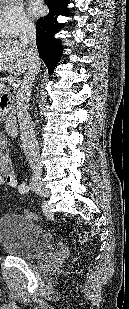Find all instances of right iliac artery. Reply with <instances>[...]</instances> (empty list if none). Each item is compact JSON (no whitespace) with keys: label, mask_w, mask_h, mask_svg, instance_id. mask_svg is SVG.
I'll return each instance as SVG.
<instances>
[{"label":"right iliac artery","mask_w":129,"mask_h":309,"mask_svg":"<svg viewBox=\"0 0 129 309\" xmlns=\"http://www.w3.org/2000/svg\"><path fill=\"white\" fill-rule=\"evenodd\" d=\"M18 189H19V192L21 193V194H26V193H28L29 192V190H30V187L27 185V184H21L19 187H18Z\"/></svg>","instance_id":"right-iliac-artery-1"}]
</instances>
